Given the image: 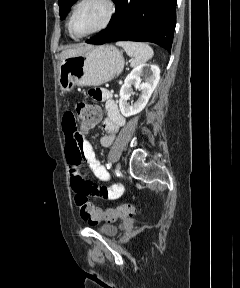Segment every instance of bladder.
<instances>
[{
    "label": "bladder",
    "instance_id": "31cf9c89",
    "mask_svg": "<svg viewBox=\"0 0 240 288\" xmlns=\"http://www.w3.org/2000/svg\"><path fill=\"white\" fill-rule=\"evenodd\" d=\"M97 230L104 236L114 237L118 232V227L112 224H103Z\"/></svg>",
    "mask_w": 240,
    "mask_h": 288
}]
</instances>
